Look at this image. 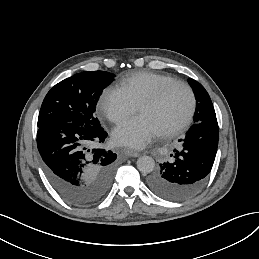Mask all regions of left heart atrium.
I'll use <instances>...</instances> for the list:
<instances>
[{
	"mask_svg": "<svg viewBox=\"0 0 259 259\" xmlns=\"http://www.w3.org/2000/svg\"><path fill=\"white\" fill-rule=\"evenodd\" d=\"M160 134L145 117L137 116L119 123L113 130V140L116 144L143 148Z\"/></svg>",
	"mask_w": 259,
	"mask_h": 259,
	"instance_id": "1",
	"label": "left heart atrium"
}]
</instances>
